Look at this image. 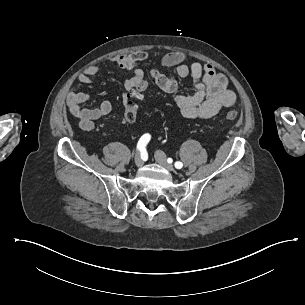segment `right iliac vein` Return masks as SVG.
Instances as JSON below:
<instances>
[{"mask_svg":"<svg viewBox=\"0 0 305 305\" xmlns=\"http://www.w3.org/2000/svg\"><path fill=\"white\" fill-rule=\"evenodd\" d=\"M143 164H144L143 159L139 155H137V157L135 158L136 167L140 168L143 166Z\"/></svg>","mask_w":305,"mask_h":305,"instance_id":"right-iliac-vein-1","label":"right iliac vein"}]
</instances>
